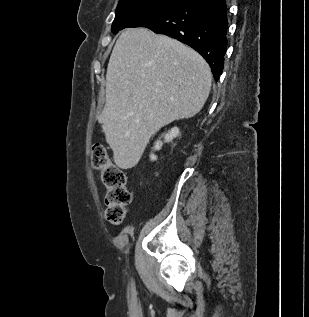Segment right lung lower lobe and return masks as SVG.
I'll use <instances>...</instances> for the list:
<instances>
[{"mask_svg": "<svg viewBox=\"0 0 309 317\" xmlns=\"http://www.w3.org/2000/svg\"><path fill=\"white\" fill-rule=\"evenodd\" d=\"M127 27H147L175 38L199 52L218 81L227 48L225 0H181L144 14Z\"/></svg>", "mask_w": 309, "mask_h": 317, "instance_id": "98d812e1", "label": "right lung lower lobe"}]
</instances>
